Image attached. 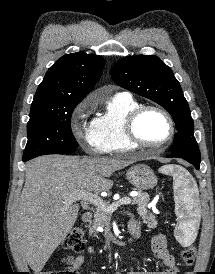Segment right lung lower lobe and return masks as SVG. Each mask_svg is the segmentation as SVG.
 Returning a JSON list of instances; mask_svg holds the SVG:
<instances>
[{"label": "right lung lower lobe", "instance_id": "right-lung-lower-lobe-1", "mask_svg": "<svg viewBox=\"0 0 215 274\" xmlns=\"http://www.w3.org/2000/svg\"><path fill=\"white\" fill-rule=\"evenodd\" d=\"M73 151V150H72ZM72 151H67V152H63V153H69V152H72ZM22 160L24 161V162H26V161H28V160H30V159H23L22 158Z\"/></svg>", "mask_w": 215, "mask_h": 274}]
</instances>
